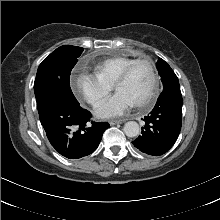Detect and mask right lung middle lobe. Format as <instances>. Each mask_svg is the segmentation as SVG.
Masks as SVG:
<instances>
[{
  "label": "right lung middle lobe",
  "mask_w": 220,
  "mask_h": 220,
  "mask_svg": "<svg viewBox=\"0 0 220 220\" xmlns=\"http://www.w3.org/2000/svg\"><path fill=\"white\" fill-rule=\"evenodd\" d=\"M83 48L64 45L53 51L39 65L34 92L38 110L55 98L77 102L70 88V72Z\"/></svg>",
  "instance_id": "1"
}]
</instances>
